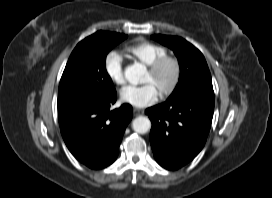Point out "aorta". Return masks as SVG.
I'll return each mask as SVG.
<instances>
[{
  "mask_svg": "<svg viewBox=\"0 0 272 198\" xmlns=\"http://www.w3.org/2000/svg\"><path fill=\"white\" fill-rule=\"evenodd\" d=\"M146 73V67L140 63L129 65L125 68L124 71L126 80L133 85L141 83ZM132 128L135 132L139 134H145L151 128V122L149 118L139 116L133 120Z\"/></svg>",
  "mask_w": 272,
  "mask_h": 198,
  "instance_id": "762f6f07",
  "label": "aorta"
}]
</instances>
